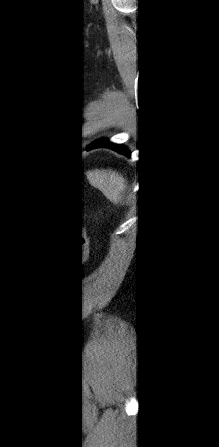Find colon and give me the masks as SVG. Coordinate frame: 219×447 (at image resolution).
Wrapping results in <instances>:
<instances>
[{"instance_id":"5ec220e1","label":"colon","mask_w":219,"mask_h":447,"mask_svg":"<svg viewBox=\"0 0 219 447\" xmlns=\"http://www.w3.org/2000/svg\"><path fill=\"white\" fill-rule=\"evenodd\" d=\"M84 234H85L84 228H81L80 235H81L82 238H84Z\"/></svg>"}]
</instances>
